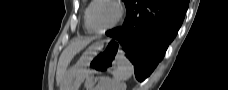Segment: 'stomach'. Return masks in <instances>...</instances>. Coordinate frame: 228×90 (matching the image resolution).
<instances>
[{"mask_svg":"<svg viewBox=\"0 0 228 90\" xmlns=\"http://www.w3.org/2000/svg\"><path fill=\"white\" fill-rule=\"evenodd\" d=\"M121 50L112 40H103L90 46L78 62L66 72L63 90H79L90 74L114 67Z\"/></svg>","mask_w":228,"mask_h":90,"instance_id":"0dacf381","label":"stomach"}]
</instances>
